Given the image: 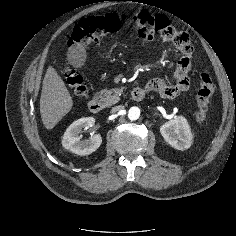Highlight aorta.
I'll list each match as a JSON object with an SVG mask.
<instances>
[{
	"label": "aorta",
	"mask_w": 236,
	"mask_h": 236,
	"mask_svg": "<svg viewBox=\"0 0 236 236\" xmlns=\"http://www.w3.org/2000/svg\"><path fill=\"white\" fill-rule=\"evenodd\" d=\"M140 116V109L138 107H131L128 111V118L130 120H137Z\"/></svg>",
	"instance_id": "1"
}]
</instances>
